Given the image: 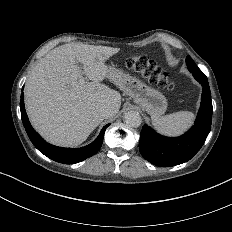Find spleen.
Wrapping results in <instances>:
<instances>
[{"label": "spleen", "instance_id": "1", "mask_svg": "<svg viewBox=\"0 0 232 232\" xmlns=\"http://www.w3.org/2000/svg\"><path fill=\"white\" fill-rule=\"evenodd\" d=\"M155 129L165 135L177 136L185 132L195 116L192 112L179 111L165 116H151Z\"/></svg>", "mask_w": 232, "mask_h": 232}]
</instances>
